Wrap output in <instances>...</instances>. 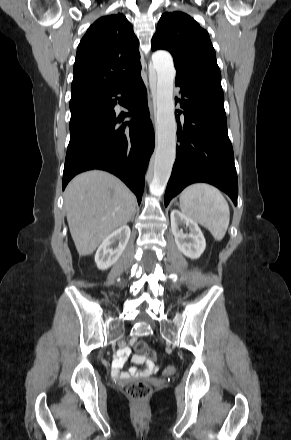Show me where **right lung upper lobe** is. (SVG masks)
<instances>
[{"mask_svg":"<svg viewBox=\"0 0 291 440\" xmlns=\"http://www.w3.org/2000/svg\"><path fill=\"white\" fill-rule=\"evenodd\" d=\"M139 41L123 14L99 18L82 38L76 53L72 97L108 92L140 74Z\"/></svg>","mask_w":291,"mask_h":440,"instance_id":"cb5924a9","label":"right lung upper lobe"}]
</instances>
